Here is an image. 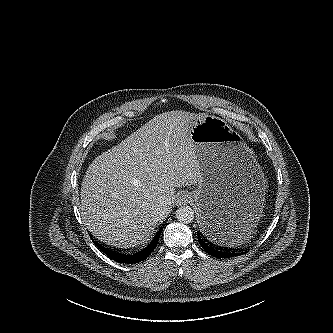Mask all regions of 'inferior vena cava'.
I'll return each instance as SVG.
<instances>
[{
    "label": "inferior vena cava",
    "instance_id": "inferior-vena-cava-1",
    "mask_svg": "<svg viewBox=\"0 0 333 333\" xmlns=\"http://www.w3.org/2000/svg\"><path fill=\"white\" fill-rule=\"evenodd\" d=\"M160 210H161L162 213H165V212H166V208H165V207H161Z\"/></svg>",
    "mask_w": 333,
    "mask_h": 333
}]
</instances>
